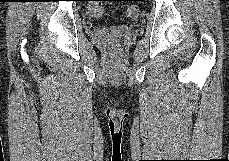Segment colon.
<instances>
[{"mask_svg": "<svg viewBox=\"0 0 229 161\" xmlns=\"http://www.w3.org/2000/svg\"><path fill=\"white\" fill-rule=\"evenodd\" d=\"M89 14L93 17H100L103 12H104V8L102 5V1L100 0H91L89 3ZM139 8L137 6H130L127 8L126 10V15L128 18L130 19H136L139 17ZM115 43H112V46L115 47Z\"/></svg>", "mask_w": 229, "mask_h": 161, "instance_id": "obj_1", "label": "colon"}]
</instances>
